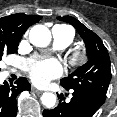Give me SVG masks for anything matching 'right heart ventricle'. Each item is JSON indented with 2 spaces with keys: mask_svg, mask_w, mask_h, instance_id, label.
I'll return each instance as SVG.
<instances>
[{
  "mask_svg": "<svg viewBox=\"0 0 117 117\" xmlns=\"http://www.w3.org/2000/svg\"><path fill=\"white\" fill-rule=\"evenodd\" d=\"M54 27L59 28L62 34L68 35L70 37L71 41L73 40L74 33L71 28H69L68 26H64V25H56Z\"/></svg>",
  "mask_w": 117,
  "mask_h": 117,
  "instance_id": "e07e8e85",
  "label": "right heart ventricle"
}]
</instances>
